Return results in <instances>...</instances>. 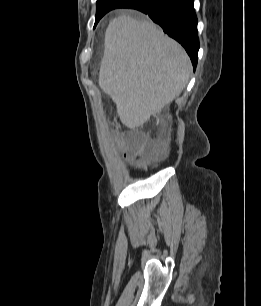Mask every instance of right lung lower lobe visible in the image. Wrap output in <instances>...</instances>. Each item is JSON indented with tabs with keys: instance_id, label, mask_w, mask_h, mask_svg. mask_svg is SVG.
Masks as SVG:
<instances>
[{
	"instance_id": "right-lung-lower-lobe-1",
	"label": "right lung lower lobe",
	"mask_w": 261,
	"mask_h": 306,
	"mask_svg": "<svg viewBox=\"0 0 261 306\" xmlns=\"http://www.w3.org/2000/svg\"><path fill=\"white\" fill-rule=\"evenodd\" d=\"M193 2L194 0H129L119 8L136 9L148 14L165 33L185 48L195 69L199 39Z\"/></svg>"
}]
</instances>
